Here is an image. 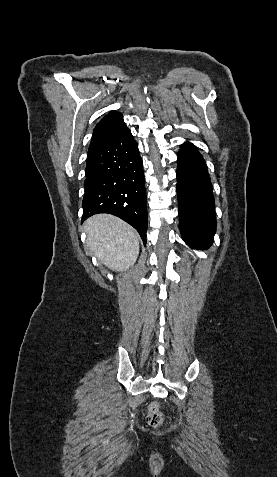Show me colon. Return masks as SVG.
Segmentation results:
<instances>
[{"instance_id":"colon-1","label":"colon","mask_w":277,"mask_h":477,"mask_svg":"<svg viewBox=\"0 0 277 477\" xmlns=\"http://www.w3.org/2000/svg\"><path fill=\"white\" fill-rule=\"evenodd\" d=\"M146 421L152 427H158L163 423L164 414L157 402H152L149 404Z\"/></svg>"}]
</instances>
